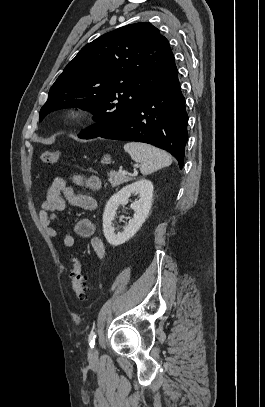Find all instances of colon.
Wrapping results in <instances>:
<instances>
[{"label": "colon", "instance_id": "obj_1", "mask_svg": "<svg viewBox=\"0 0 265 407\" xmlns=\"http://www.w3.org/2000/svg\"><path fill=\"white\" fill-rule=\"evenodd\" d=\"M60 157L58 150H45L40 155V161L47 165H53L57 163ZM73 268L71 271L72 288L75 296L80 302H88L89 289L87 277L83 274V265L78 258L72 260Z\"/></svg>", "mask_w": 265, "mask_h": 407}]
</instances>
